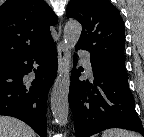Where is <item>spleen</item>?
Here are the masks:
<instances>
[{
	"label": "spleen",
	"mask_w": 144,
	"mask_h": 137,
	"mask_svg": "<svg viewBox=\"0 0 144 137\" xmlns=\"http://www.w3.org/2000/svg\"><path fill=\"white\" fill-rule=\"evenodd\" d=\"M102 137H138V135L123 129H108L102 133Z\"/></svg>",
	"instance_id": "1"
}]
</instances>
